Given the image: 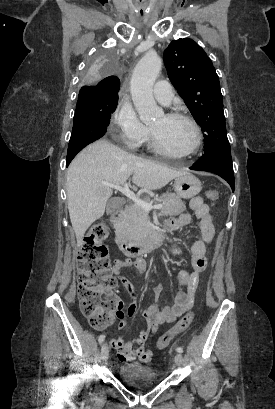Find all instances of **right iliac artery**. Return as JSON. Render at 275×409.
Wrapping results in <instances>:
<instances>
[{
  "mask_svg": "<svg viewBox=\"0 0 275 409\" xmlns=\"http://www.w3.org/2000/svg\"><path fill=\"white\" fill-rule=\"evenodd\" d=\"M104 340H105V335L104 334L100 335L98 339L99 343L102 344Z\"/></svg>",
  "mask_w": 275,
  "mask_h": 409,
  "instance_id": "1",
  "label": "right iliac artery"
}]
</instances>
